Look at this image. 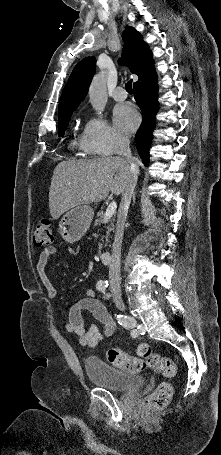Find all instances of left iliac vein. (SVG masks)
I'll use <instances>...</instances> for the list:
<instances>
[{
  "label": "left iliac vein",
  "mask_w": 221,
  "mask_h": 455,
  "mask_svg": "<svg viewBox=\"0 0 221 455\" xmlns=\"http://www.w3.org/2000/svg\"><path fill=\"white\" fill-rule=\"evenodd\" d=\"M115 302H116V306L119 310H122V311L125 310V305L122 302V300L116 299Z\"/></svg>",
  "instance_id": "4c4485c4"
}]
</instances>
